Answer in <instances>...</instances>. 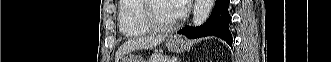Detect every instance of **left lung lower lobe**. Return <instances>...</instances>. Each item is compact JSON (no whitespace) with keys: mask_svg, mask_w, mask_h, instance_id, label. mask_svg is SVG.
I'll use <instances>...</instances> for the list:
<instances>
[{"mask_svg":"<svg viewBox=\"0 0 331 62\" xmlns=\"http://www.w3.org/2000/svg\"><path fill=\"white\" fill-rule=\"evenodd\" d=\"M230 0H216L215 6L208 20L199 27L186 26L178 33L188 38H200L205 36H217L232 46V35L228 25L231 22V16L228 12Z\"/></svg>","mask_w":331,"mask_h":62,"instance_id":"0a47b994","label":"left lung lower lobe"}]
</instances>
